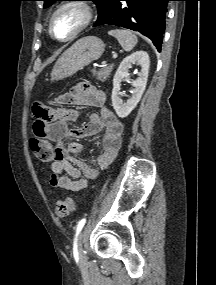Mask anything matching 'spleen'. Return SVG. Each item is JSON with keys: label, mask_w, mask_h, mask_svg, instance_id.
I'll return each instance as SVG.
<instances>
[{"label": "spleen", "mask_w": 216, "mask_h": 285, "mask_svg": "<svg viewBox=\"0 0 216 285\" xmlns=\"http://www.w3.org/2000/svg\"><path fill=\"white\" fill-rule=\"evenodd\" d=\"M115 37L125 51H131L138 42V38L131 31L125 29H115L108 32Z\"/></svg>", "instance_id": "obj_1"}]
</instances>
